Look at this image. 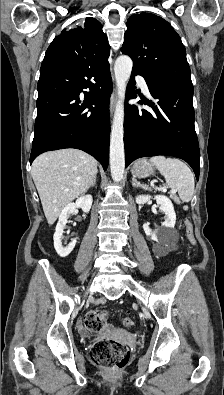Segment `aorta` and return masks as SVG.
I'll use <instances>...</instances> for the list:
<instances>
[{
	"mask_svg": "<svg viewBox=\"0 0 224 395\" xmlns=\"http://www.w3.org/2000/svg\"><path fill=\"white\" fill-rule=\"evenodd\" d=\"M133 62L127 55L119 56L114 65L118 100L115 107L110 133V169L113 181L120 182L125 168L124 152V100L127 82L130 78Z\"/></svg>",
	"mask_w": 224,
	"mask_h": 395,
	"instance_id": "aorta-1",
	"label": "aorta"
}]
</instances>
